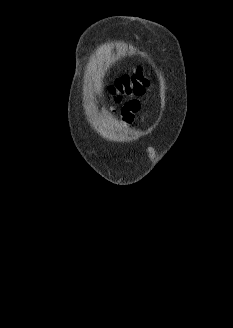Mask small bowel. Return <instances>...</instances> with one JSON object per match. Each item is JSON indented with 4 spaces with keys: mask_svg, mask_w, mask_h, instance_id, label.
<instances>
[{
    "mask_svg": "<svg viewBox=\"0 0 233 328\" xmlns=\"http://www.w3.org/2000/svg\"><path fill=\"white\" fill-rule=\"evenodd\" d=\"M143 105L144 101L138 99L127 102L122 109V123L127 126L131 125Z\"/></svg>",
    "mask_w": 233,
    "mask_h": 328,
    "instance_id": "1",
    "label": "small bowel"
}]
</instances>
